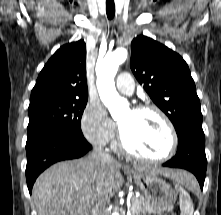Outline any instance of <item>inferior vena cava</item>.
Masks as SVG:
<instances>
[{
    "instance_id": "602c4592",
    "label": "inferior vena cava",
    "mask_w": 221,
    "mask_h": 215,
    "mask_svg": "<svg viewBox=\"0 0 221 215\" xmlns=\"http://www.w3.org/2000/svg\"><path fill=\"white\" fill-rule=\"evenodd\" d=\"M89 157L96 163H105L113 160L101 147H95ZM108 203L109 202H106L103 198L96 199L90 210L91 215H108Z\"/></svg>"
}]
</instances>
